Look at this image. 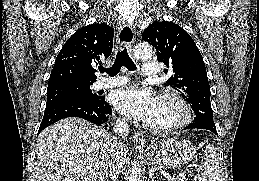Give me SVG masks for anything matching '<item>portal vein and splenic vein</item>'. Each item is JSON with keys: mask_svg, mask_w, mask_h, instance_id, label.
I'll return each instance as SVG.
<instances>
[{"mask_svg": "<svg viewBox=\"0 0 259 181\" xmlns=\"http://www.w3.org/2000/svg\"><path fill=\"white\" fill-rule=\"evenodd\" d=\"M188 171H189V169H187ZM196 170H200V168H196ZM182 178L184 177V172H181L180 174H179Z\"/></svg>", "mask_w": 259, "mask_h": 181, "instance_id": "portal-vein-and-splenic-vein-1", "label": "portal vein and splenic vein"}]
</instances>
